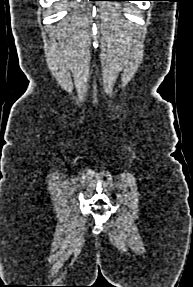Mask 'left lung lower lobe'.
<instances>
[{
	"label": "left lung lower lobe",
	"mask_w": 193,
	"mask_h": 287,
	"mask_svg": "<svg viewBox=\"0 0 193 287\" xmlns=\"http://www.w3.org/2000/svg\"><path fill=\"white\" fill-rule=\"evenodd\" d=\"M130 1H141V0H130Z\"/></svg>",
	"instance_id": "1"
}]
</instances>
